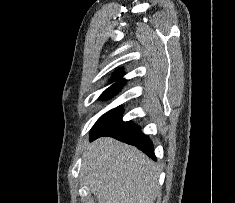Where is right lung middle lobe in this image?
<instances>
[{"mask_svg": "<svg viewBox=\"0 0 235 203\" xmlns=\"http://www.w3.org/2000/svg\"><path fill=\"white\" fill-rule=\"evenodd\" d=\"M122 85H115V86H111L109 87L107 90H105L103 92V94L101 95L102 98L105 97H109L114 95L115 93H117L120 90V87ZM122 111L121 106L114 108L112 110H110L109 112H107L106 114H104L102 117H100L98 119V121L95 123V125L92 127L91 131H93L95 128H97L100 124H102L103 122H105L106 120L110 119L111 117L117 115L118 113H120Z\"/></svg>", "mask_w": 235, "mask_h": 203, "instance_id": "dd1d6c3e", "label": "right lung middle lobe"}]
</instances>
